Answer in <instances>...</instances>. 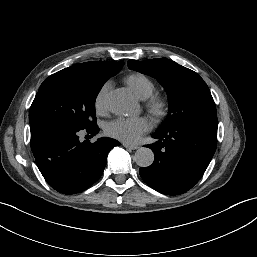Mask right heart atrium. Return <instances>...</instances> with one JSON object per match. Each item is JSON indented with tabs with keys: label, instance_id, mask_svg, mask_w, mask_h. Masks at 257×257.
<instances>
[{
	"label": "right heart atrium",
	"instance_id": "obj_1",
	"mask_svg": "<svg viewBox=\"0 0 257 257\" xmlns=\"http://www.w3.org/2000/svg\"><path fill=\"white\" fill-rule=\"evenodd\" d=\"M110 88V82H106L98 91L95 97V109L98 113H103L106 110V99Z\"/></svg>",
	"mask_w": 257,
	"mask_h": 257
}]
</instances>
